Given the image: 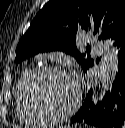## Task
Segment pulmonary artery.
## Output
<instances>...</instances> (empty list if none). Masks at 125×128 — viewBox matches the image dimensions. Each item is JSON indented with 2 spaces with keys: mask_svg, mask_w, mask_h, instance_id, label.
Here are the masks:
<instances>
[{
  "mask_svg": "<svg viewBox=\"0 0 125 128\" xmlns=\"http://www.w3.org/2000/svg\"><path fill=\"white\" fill-rule=\"evenodd\" d=\"M89 44L94 48H100L102 46L101 42L96 38H91Z\"/></svg>",
  "mask_w": 125,
  "mask_h": 128,
  "instance_id": "pulmonary-artery-1",
  "label": "pulmonary artery"
}]
</instances>
